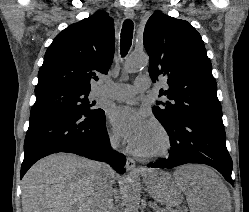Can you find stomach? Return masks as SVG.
Masks as SVG:
<instances>
[{"mask_svg": "<svg viewBox=\"0 0 249 212\" xmlns=\"http://www.w3.org/2000/svg\"><path fill=\"white\" fill-rule=\"evenodd\" d=\"M144 184L153 198H180L182 193V184H174L172 170H150V175H144ZM158 204H180V199H158Z\"/></svg>", "mask_w": 249, "mask_h": 212, "instance_id": "0dacf381", "label": "stomach"}]
</instances>
